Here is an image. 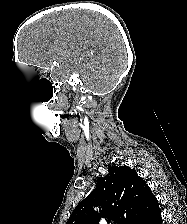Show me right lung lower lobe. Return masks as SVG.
<instances>
[{"mask_svg": "<svg viewBox=\"0 0 187 224\" xmlns=\"http://www.w3.org/2000/svg\"><path fill=\"white\" fill-rule=\"evenodd\" d=\"M161 222H162L161 212L160 210H157L153 214L136 222V224H161Z\"/></svg>", "mask_w": 187, "mask_h": 224, "instance_id": "right-lung-lower-lobe-1", "label": "right lung lower lobe"}]
</instances>
